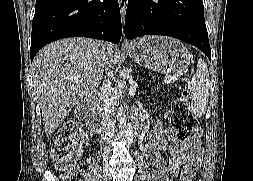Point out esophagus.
I'll use <instances>...</instances> for the list:
<instances>
[{
  "instance_id": "1",
  "label": "esophagus",
  "mask_w": 253,
  "mask_h": 181,
  "mask_svg": "<svg viewBox=\"0 0 253 181\" xmlns=\"http://www.w3.org/2000/svg\"><path fill=\"white\" fill-rule=\"evenodd\" d=\"M127 3H128V0H119V6H120V14H121L122 24L124 23V20H125Z\"/></svg>"
}]
</instances>
